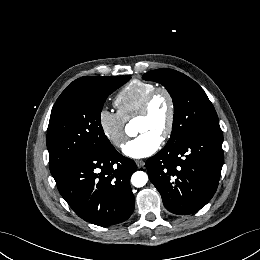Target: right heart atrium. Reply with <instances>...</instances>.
Instances as JSON below:
<instances>
[{
	"mask_svg": "<svg viewBox=\"0 0 260 260\" xmlns=\"http://www.w3.org/2000/svg\"><path fill=\"white\" fill-rule=\"evenodd\" d=\"M98 124L105 138L116 148L126 140V120L117 112L102 108L98 113Z\"/></svg>",
	"mask_w": 260,
	"mask_h": 260,
	"instance_id": "obj_1",
	"label": "right heart atrium"
}]
</instances>
